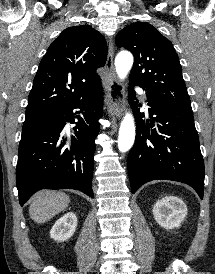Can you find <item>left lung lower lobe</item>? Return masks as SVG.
I'll return each mask as SVG.
<instances>
[{
  "label": "left lung lower lobe",
  "mask_w": 215,
  "mask_h": 274,
  "mask_svg": "<svg viewBox=\"0 0 215 274\" xmlns=\"http://www.w3.org/2000/svg\"><path fill=\"white\" fill-rule=\"evenodd\" d=\"M134 84L129 97L136 118V141L128 155L131 191L152 180H172L190 185L203 199L204 161L191 108L147 94L150 119H143L135 101ZM153 115H155L153 117Z\"/></svg>",
  "instance_id": "0a47b994"
}]
</instances>
